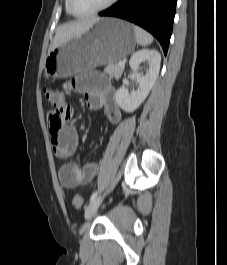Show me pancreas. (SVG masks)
I'll return each instance as SVG.
<instances>
[{"instance_id":"obj_1","label":"pancreas","mask_w":227,"mask_h":265,"mask_svg":"<svg viewBox=\"0 0 227 265\" xmlns=\"http://www.w3.org/2000/svg\"><path fill=\"white\" fill-rule=\"evenodd\" d=\"M124 67L119 66L117 63H108L104 72L109 74L111 77L120 78L123 73Z\"/></svg>"}]
</instances>
